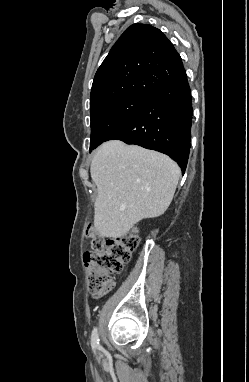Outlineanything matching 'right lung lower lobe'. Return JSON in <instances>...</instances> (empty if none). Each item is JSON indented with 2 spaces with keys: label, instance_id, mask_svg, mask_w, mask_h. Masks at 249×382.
I'll list each match as a JSON object with an SVG mask.
<instances>
[{
  "label": "right lung lower lobe",
  "instance_id": "right-lung-lower-lobe-1",
  "mask_svg": "<svg viewBox=\"0 0 249 382\" xmlns=\"http://www.w3.org/2000/svg\"><path fill=\"white\" fill-rule=\"evenodd\" d=\"M191 91L184 71L149 97L140 112L108 140H121L164 153L184 174L191 147Z\"/></svg>",
  "mask_w": 249,
  "mask_h": 382
}]
</instances>
